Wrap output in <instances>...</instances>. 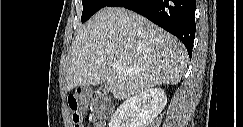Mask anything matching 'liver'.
I'll list each match as a JSON object with an SVG mask.
<instances>
[{
  "instance_id": "obj_1",
  "label": "liver",
  "mask_w": 243,
  "mask_h": 127,
  "mask_svg": "<svg viewBox=\"0 0 243 127\" xmlns=\"http://www.w3.org/2000/svg\"><path fill=\"white\" fill-rule=\"evenodd\" d=\"M187 60L186 48L175 36L133 11L105 7L72 42L67 90L105 82L106 92L116 99L130 98L157 85L177 84ZM114 63L133 73L117 72Z\"/></svg>"
}]
</instances>
